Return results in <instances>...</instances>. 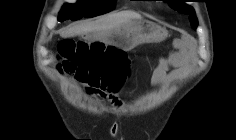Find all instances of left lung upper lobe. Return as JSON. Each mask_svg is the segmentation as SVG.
<instances>
[{
    "label": "left lung upper lobe",
    "mask_w": 236,
    "mask_h": 140,
    "mask_svg": "<svg viewBox=\"0 0 236 140\" xmlns=\"http://www.w3.org/2000/svg\"><path fill=\"white\" fill-rule=\"evenodd\" d=\"M168 4L180 13L189 14L191 26L195 29L197 27V18L195 17L194 9L185 4V0H167Z\"/></svg>",
    "instance_id": "5c2ea615"
}]
</instances>
